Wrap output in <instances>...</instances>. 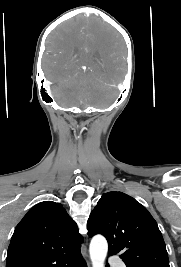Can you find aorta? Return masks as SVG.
<instances>
[{
	"mask_svg": "<svg viewBox=\"0 0 181 267\" xmlns=\"http://www.w3.org/2000/svg\"><path fill=\"white\" fill-rule=\"evenodd\" d=\"M107 251L108 244L106 239L101 235L94 236L89 248L92 267H105L104 262Z\"/></svg>",
	"mask_w": 181,
	"mask_h": 267,
	"instance_id": "1",
	"label": "aorta"
}]
</instances>
